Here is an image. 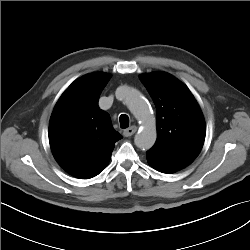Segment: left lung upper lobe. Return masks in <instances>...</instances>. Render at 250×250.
<instances>
[{"mask_svg":"<svg viewBox=\"0 0 250 250\" xmlns=\"http://www.w3.org/2000/svg\"><path fill=\"white\" fill-rule=\"evenodd\" d=\"M157 110V140L150 151L195 159L206 134L202 112L190 90L165 72L140 76Z\"/></svg>","mask_w":250,"mask_h":250,"instance_id":"5c2ea615","label":"left lung upper lobe"}]
</instances>
